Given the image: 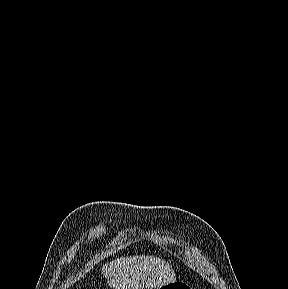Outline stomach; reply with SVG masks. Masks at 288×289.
<instances>
[{"instance_id": "1", "label": "stomach", "mask_w": 288, "mask_h": 289, "mask_svg": "<svg viewBox=\"0 0 288 289\" xmlns=\"http://www.w3.org/2000/svg\"><path fill=\"white\" fill-rule=\"evenodd\" d=\"M158 289H191V287L184 282L174 281L172 283L165 284Z\"/></svg>"}]
</instances>
